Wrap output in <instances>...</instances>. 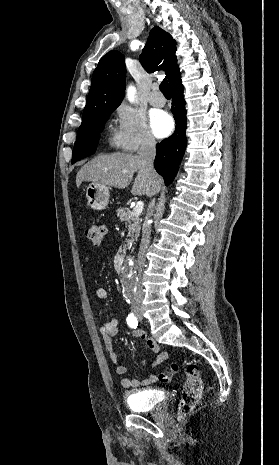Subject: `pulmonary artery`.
<instances>
[{
    "label": "pulmonary artery",
    "instance_id": "1",
    "mask_svg": "<svg viewBox=\"0 0 279 465\" xmlns=\"http://www.w3.org/2000/svg\"><path fill=\"white\" fill-rule=\"evenodd\" d=\"M165 102V98L160 94L158 88L155 87L149 95V103L154 107H163Z\"/></svg>",
    "mask_w": 279,
    "mask_h": 465
}]
</instances>
